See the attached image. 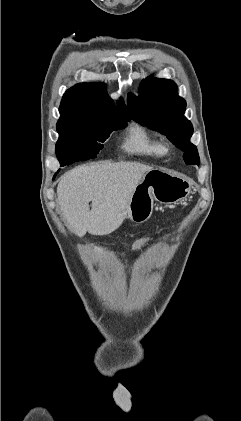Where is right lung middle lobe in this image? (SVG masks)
I'll return each mask as SVG.
<instances>
[{"label": "right lung middle lobe", "instance_id": "1", "mask_svg": "<svg viewBox=\"0 0 241 421\" xmlns=\"http://www.w3.org/2000/svg\"><path fill=\"white\" fill-rule=\"evenodd\" d=\"M130 118H101L94 122L59 120L56 155L61 166L96 158L104 142L114 130L123 129Z\"/></svg>", "mask_w": 241, "mask_h": 421}]
</instances>
